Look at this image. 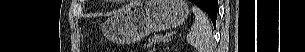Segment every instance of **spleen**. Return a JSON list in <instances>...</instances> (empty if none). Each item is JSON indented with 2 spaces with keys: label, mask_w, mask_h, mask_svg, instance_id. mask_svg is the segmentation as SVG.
<instances>
[{
  "label": "spleen",
  "mask_w": 305,
  "mask_h": 52,
  "mask_svg": "<svg viewBox=\"0 0 305 52\" xmlns=\"http://www.w3.org/2000/svg\"><path fill=\"white\" fill-rule=\"evenodd\" d=\"M195 21L187 35V42L198 52H213L212 28L205 13L197 6H193Z\"/></svg>",
  "instance_id": "1"
}]
</instances>
